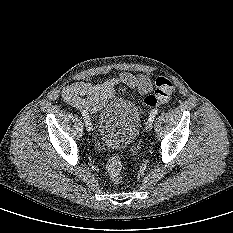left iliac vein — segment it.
<instances>
[{"label": "left iliac vein", "mask_w": 233, "mask_h": 233, "mask_svg": "<svg viewBox=\"0 0 233 233\" xmlns=\"http://www.w3.org/2000/svg\"><path fill=\"white\" fill-rule=\"evenodd\" d=\"M152 127H153V121H152V120H148V121L146 122V129H147V130H151Z\"/></svg>", "instance_id": "obj_1"}]
</instances>
